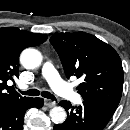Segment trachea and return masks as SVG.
<instances>
[{
  "mask_svg": "<svg viewBox=\"0 0 130 130\" xmlns=\"http://www.w3.org/2000/svg\"><path fill=\"white\" fill-rule=\"evenodd\" d=\"M19 92L23 95H27V96H39L41 94L42 97L47 98V99H51V100H55V96L53 94H51L50 92L47 91H42L40 92L37 89H31L28 91H21L19 90Z\"/></svg>",
  "mask_w": 130,
  "mask_h": 130,
  "instance_id": "1",
  "label": "trachea"
}]
</instances>
